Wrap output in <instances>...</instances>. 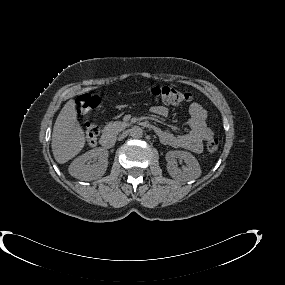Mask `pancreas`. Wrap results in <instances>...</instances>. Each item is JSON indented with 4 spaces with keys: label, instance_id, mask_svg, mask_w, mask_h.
I'll return each mask as SVG.
<instances>
[{
    "label": "pancreas",
    "instance_id": "obj_1",
    "mask_svg": "<svg viewBox=\"0 0 285 285\" xmlns=\"http://www.w3.org/2000/svg\"><path fill=\"white\" fill-rule=\"evenodd\" d=\"M121 126H122V122L117 121V122L109 124L107 128L118 132L121 129Z\"/></svg>",
    "mask_w": 285,
    "mask_h": 285
}]
</instances>
